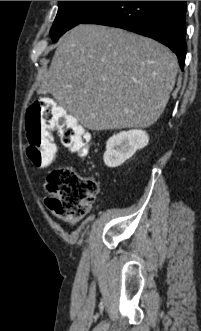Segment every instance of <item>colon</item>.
<instances>
[{"label":"colon","mask_w":201,"mask_h":331,"mask_svg":"<svg viewBox=\"0 0 201 331\" xmlns=\"http://www.w3.org/2000/svg\"><path fill=\"white\" fill-rule=\"evenodd\" d=\"M27 155L38 167L50 165L56 148L52 131L74 153L83 156L91 145L90 136L77 120L50 98L35 101L26 114ZM49 197L46 206L59 218L76 223L90 210L99 190L95 176L80 174L71 168H57L47 177Z\"/></svg>","instance_id":"obj_1"}]
</instances>
